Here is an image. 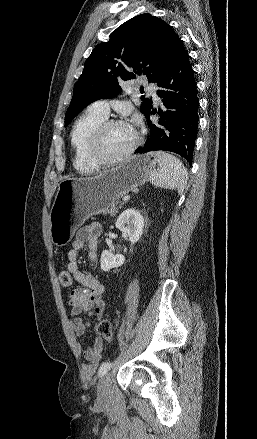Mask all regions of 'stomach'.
Wrapping results in <instances>:
<instances>
[{
    "label": "stomach",
    "instance_id": "0dacf381",
    "mask_svg": "<svg viewBox=\"0 0 257 439\" xmlns=\"http://www.w3.org/2000/svg\"><path fill=\"white\" fill-rule=\"evenodd\" d=\"M155 153L135 155L94 177L62 180L50 210L51 238L63 246L90 216L102 213L131 189L143 185L155 168Z\"/></svg>",
    "mask_w": 257,
    "mask_h": 439
}]
</instances>
